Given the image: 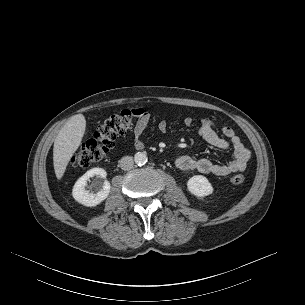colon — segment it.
<instances>
[{
  "label": "colon",
  "mask_w": 305,
  "mask_h": 305,
  "mask_svg": "<svg viewBox=\"0 0 305 305\" xmlns=\"http://www.w3.org/2000/svg\"><path fill=\"white\" fill-rule=\"evenodd\" d=\"M135 117L132 110H122L106 117L98 125L94 138L75 151L72 164L86 168L103 160L113 148L116 138L132 128ZM244 180L243 175L237 174L230 181L233 185H240Z\"/></svg>",
  "instance_id": "obj_1"
}]
</instances>
